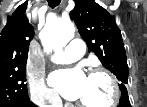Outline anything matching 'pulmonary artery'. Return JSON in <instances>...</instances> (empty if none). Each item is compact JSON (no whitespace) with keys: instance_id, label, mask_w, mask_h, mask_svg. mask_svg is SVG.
<instances>
[{"instance_id":"e3ab8cb5","label":"pulmonary artery","mask_w":147,"mask_h":107,"mask_svg":"<svg viewBox=\"0 0 147 107\" xmlns=\"http://www.w3.org/2000/svg\"><path fill=\"white\" fill-rule=\"evenodd\" d=\"M85 51V44L81 39H74L62 51L57 52L51 60L55 63L68 64L82 57Z\"/></svg>"}]
</instances>
